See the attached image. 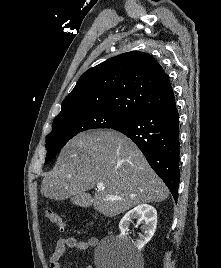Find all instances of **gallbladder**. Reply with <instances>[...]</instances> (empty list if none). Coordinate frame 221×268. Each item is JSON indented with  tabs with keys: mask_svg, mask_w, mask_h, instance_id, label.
<instances>
[{
	"mask_svg": "<svg viewBox=\"0 0 221 268\" xmlns=\"http://www.w3.org/2000/svg\"><path fill=\"white\" fill-rule=\"evenodd\" d=\"M82 198L83 199H73L72 200V203L73 204H78L79 206H81V207H84V208H87V207H89L92 203H91V199H92V197L89 195V194H84L83 196H82Z\"/></svg>",
	"mask_w": 221,
	"mask_h": 268,
	"instance_id": "gallbladder-1",
	"label": "gallbladder"
}]
</instances>
